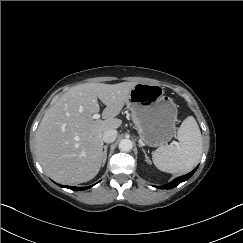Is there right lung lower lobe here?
I'll list each match as a JSON object with an SVG mask.
<instances>
[{"label": "right lung lower lobe", "mask_w": 243, "mask_h": 243, "mask_svg": "<svg viewBox=\"0 0 243 243\" xmlns=\"http://www.w3.org/2000/svg\"><path fill=\"white\" fill-rule=\"evenodd\" d=\"M59 186H61V187H65V188H69V189H71V190H75V191H81V190H86V189H88V188H90V187H92V186H88V187H73V186H63V185H59Z\"/></svg>", "instance_id": "right-lung-lower-lobe-1"}]
</instances>
